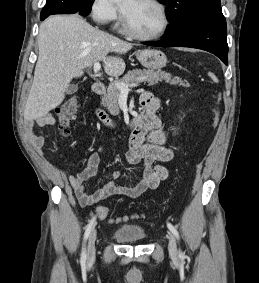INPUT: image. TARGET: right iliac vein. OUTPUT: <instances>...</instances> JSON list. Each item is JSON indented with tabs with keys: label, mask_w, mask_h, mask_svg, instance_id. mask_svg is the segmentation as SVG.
<instances>
[{
	"label": "right iliac vein",
	"mask_w": 259,
	"mask_h": 283,
	"mask_svg": "<svg viewBox=\"0 0 259 283\" xmlns=\"http://www.w3.org/2000/svg\"><path fill=\"white\" fill-rule=\"evenodd\" d=\"M96 237H97V231L96 229H94L90 236H89V240H88V250H87V256L88 259L91 260L95 257V241H96Z\"/></svg>",
	"instance_id": "right-iliac-vein-1"
}]
</instances>
